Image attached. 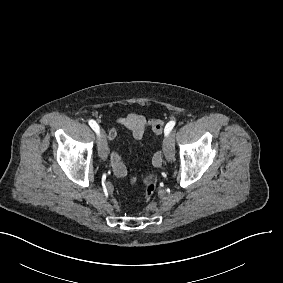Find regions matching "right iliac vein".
I'll return each mask as SVG.
<instances>
[{
  "mask_svg": "<svg viewBox=\"0 0 283 283\" xmlns=\"http://www.w3.org/2000/svg\"><path fill=\"white\" fill-rule=\"evenodd\" d=\"M100 135H101V143H100V157L103 160H106L108 157V152H107V142H106V134L103 129L100 130Z\"/></svg>",
  "mask_w": 283,
  "mask_h": 283,
  "instance_id": "63e3f726",
  "label": "right iliac vein"
}]
</instances>
